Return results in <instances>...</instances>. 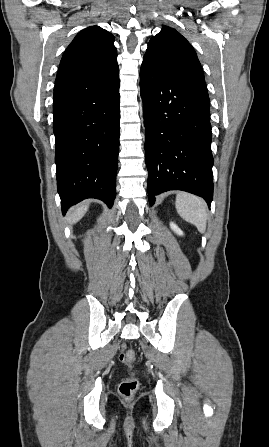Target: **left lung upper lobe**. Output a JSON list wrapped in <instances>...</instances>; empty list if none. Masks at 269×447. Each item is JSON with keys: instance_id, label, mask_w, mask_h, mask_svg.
I'll return each mask as SVG.
<instances>
[{"instance_id": "obj_1", "label": "left lung upper lobe", "mask_w": 269, "mask_h": 447, "mask_svg": "<svg viewBox=\"0 0 269 447\" xmlns=\"http://www.w3.org/2000/svg\"><path fill=\"white\" fill-rule=\"evenodd\" d=\"M144 58L153 63L199 80L205 84L202 67L190 43L175 29L163 26L148 43Z\"/></svg>"}]
</instances>
